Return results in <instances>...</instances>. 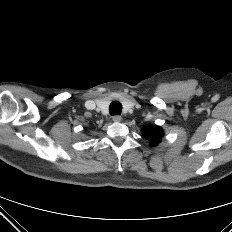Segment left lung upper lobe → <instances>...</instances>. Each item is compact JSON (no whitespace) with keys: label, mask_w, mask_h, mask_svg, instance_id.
<instances>
[{"label":"left lung upper lobe","mask_w":232,"mask_h":232,"mask_svg":"<svg viewBox=\"0 0 232 232\" xmlns=\"http://www.w3.org/2000/svg\"><path fill=\"white\" fill-rule=\"evenodd\" d=\"M142 133L147 136L150 146L157 145L162 139V129L156 125H147L142 129Z\"/></svg>","instance_id":"left-lung-upper-lobe-1"}]
</instances>
